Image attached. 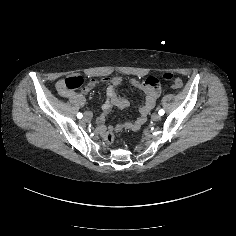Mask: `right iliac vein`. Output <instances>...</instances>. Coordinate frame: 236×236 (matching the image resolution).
I'll use <instances>...</instances> for the list:
<instances>
[{"label":"right iliac vein","mask_w":236,"mask_h":236,"mask_svg":"<svg viewBox=\"0 0 236 236\" xmlns=\"http://www.w3.org/2000/svg\"><path fill=\"white\" fill-rule=\"evenodd\" d=\"M90 118H91V117H90V114L87 113V114L84 116L83 120L86 122V121H88Z\"/></svg>","instance_id":"1"}]
</instances>
